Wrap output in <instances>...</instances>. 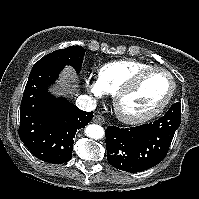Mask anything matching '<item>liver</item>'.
<instances>
[{
	"instance_id": "liver-1",
	"label": "liver",
	"mask_w": 199,
	"mask_h": 199,
	"mask_svg": "<svg viewBox=\"0 0 199 199\" xmlns=\"http://www.w3.org/2000/svg\"><path fill=\"white\" fill-rule=\"evenodd\" d=\"M77 81L75 71L67 66L61 73L57 87L60 89L61 94H75L73 83Z\"/></svg>"
}]
</instances>
